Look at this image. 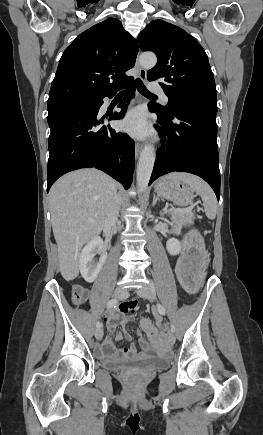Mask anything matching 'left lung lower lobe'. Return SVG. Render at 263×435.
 <instances>
[{
    "label": "left lung lower lobe",
    "mask_w": 263,
    "mask_h": 435,
    "mask_svg": "<svg viewBox=\"0 0 263 435\" xmlns=\"http://www.w3.org/2000/svg\"><path fill=\"white\" fill-rule=\"evenodd\" d=\"M158 115L156 125L166 149L156 157L149 185L158 177L178 171L203 178L220 197V171L217 147L216 114L198 110H173L169 116L154 106Z\"/></svg>",
    "instance_id": "1"
}]
</instances>
